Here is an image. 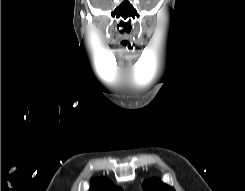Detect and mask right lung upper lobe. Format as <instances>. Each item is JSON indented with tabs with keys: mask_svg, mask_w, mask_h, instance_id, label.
I'll return each instance as SVG.
<instances>
[{
	"mask_svg": "<svg viewBox=\"0 0 245 191\" xmlns=\"http://www.w3.org/2000/svg\"><path fill=\"white\" fill-rule=\"evenodd\" d=\"M88 191H122L116 188L107 178H95L91 181V188Z\"/></svg>",
	"mask_w": 245,
	"mask_h": 191,
	"instance_id": "cb5924a9",
	"label": "right lung upper lobe"
}]
</instances>
